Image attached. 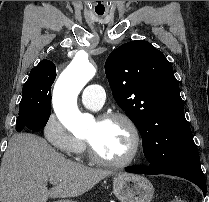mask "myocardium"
<instances>
[{
  "label": "myocardium",
  "mask_w": 209,
  "mask_h": 202,
  "mask_svg": "<svg viewBox=\"0 0 209 202\" xmlns=\"http://www.w3.org/2000/svg\"><path fill=\"white\" fill-rule=\"evenodd\" d=\"M97 121L99 123H106L110 121L123 122L129 128L131 132L132 139H133V146H132V150L130 154L125 159L120 160V161H112L103 157L97 151L92 141L88 138H85V142L87 144V149H88V154L91 160L101 166L109 167L113 169H122L134 163L138 159L141 153V148H142V140H141L140 131L137 125L135 124V122L128 115L124 113H120V112H112V113L101 115L100 117H98Z\"/></svg>",
  "instance_id": "obj_1"
}]
</instances>
